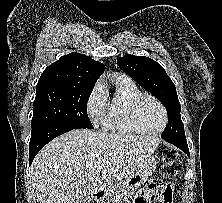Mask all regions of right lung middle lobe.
<instances>
[{
	"label": "right lung middle lobe",
	"mask_w": 222,
	"mask_h": 203,
	"mask_svg": "<svg viewBox=\"0 0 222 203\" xmlns=\"http://www.w3.org/2000/svg\"><path fill=\"white\" fill-rule=\"evenodd\" d=\"M92 90L56 86L36 91L32 129L49 123H73L93 129L86 107Z\"/></svg>",
	"instance_id": "right-lung-middle-lobe-1"
}]
</instances>
